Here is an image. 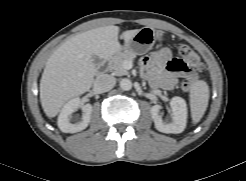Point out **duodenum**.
Segmentation results:
<instances>
[{
    "label": "duodenum",
    "mask_w": 246,
    "mask_h": 181,
    "mask_svg": "<svg viewBox=\"0 0 246 181\" xmlns=\"http://www.w3.org/2000/svg\"><path fill=\"white\" fill-rule=\"evenodd\" d=\"M110 57H108V58H106L104 61H103V63L101 64V67H100V69H99V73L101 74V73H104L105 71H106V69H107V67H108V64H109V62H110Z\"/></svg>",
    "instance_id": "obj_1"
}]
</instances>
